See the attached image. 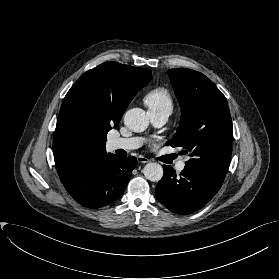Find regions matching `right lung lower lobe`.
Instances as JSON below:
<instances>
[{
    "label": "right lung lower lobe",
    "mask_w": 279,
    "mask_h": 279,
    "mask_svg": "<svg viewBox=\"0 0 279 279\" xmlns=\"http://www.w3.org/2000/svg\"><path fill=\"white\" fill-rule=\"evenodd\" d=\"M136 165L133 156L102 155L74 164L59 177L78 203L88 208H101L123 195Z\"/></svg>",
    "instance_id": "obj_1"
}]
</instances>
